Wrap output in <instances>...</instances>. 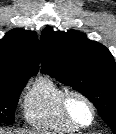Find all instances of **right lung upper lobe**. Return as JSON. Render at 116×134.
I'll return each instance as SVG.
<instances>
[{
    "instance_id": "obj_1",
    "label": "right lung upper lobe",
    "mask_w": 116,
    "mask_h": 134,
    "mask_svg": "<svg viewBox=\"0 0 116 134\" xmlns=\"http://www.w3.org/2000/svg\"><path fill=\"white\" fill-rule=\"evenodd\" d=\"M41 46L37 34L12 30L0 40V86L11 87L27 81L39 70Z\"/></svg>"
}]
</instances>
